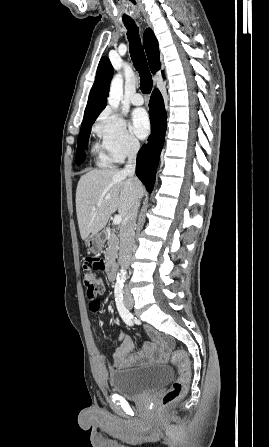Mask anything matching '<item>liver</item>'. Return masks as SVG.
<instances>
[{
	"instance_id": "liver-1",
	"label": "liver",
	"mask_w": 269,
	"mask_h": 447,
	"mask_svg": "<svg viewBox=\"0 0 269 447\" xmlns=\"http://www.w3.org/2000/svg\"><path fill=\"white\" fill-rule=\"evenodd\" d=\"M126 178L120 170L106 168L81 176L76 190V212L82 239H87L90 233V237L96 235L116 210L126 218L136 200L142 198L141 182L137 178Z\"/></svg>"
}]
</instances>
